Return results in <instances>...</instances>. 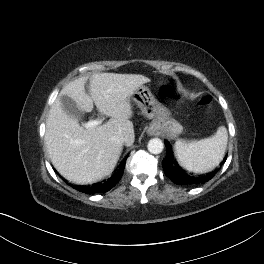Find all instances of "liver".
Instances as JSON below:
<instances>
[{"label": "liver", "instance_id": "1", "mask_svg": "<svg viewBox=\"0 0 264 264\" xmlns=\"http://www.w3.org/2000/svg\"><path fill=\"white\" fill-rule=\"evenodd\" d=\"M87 77L68 83L53 103L46 121L45 144L55 169L74 183H89L110 175L121 155L122 145L111 140L124 137L134 142L129 98L150 79L139 74L95 73L89 78L90 96L85 93ZM70 97L83 112L97 110L111 117L105 124L84 129L67 115L60 97Z\"/></svg>", "mask_w": 264, "mask_h": 264}]
</instances>
